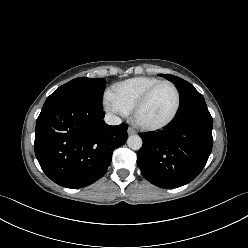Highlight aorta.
Segmentation results:
<instances>
[{"label": "aorta", "mask_w": 248, "mask_h": 248, "mask_svg": "<svg viewBox=\"0 0 248 248\" xmlns=\"http://www.w3.org/2000/svg\"><path fill=\"white\" fill-rule=\"evenodd\" d=\"M143 141L138 135H131L127 139V145L132 150H139L142 147Z\"/></svg>", "instance_id": "obj_1"}]
</instances>
